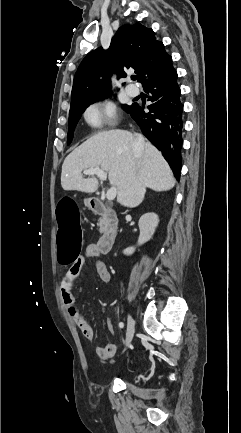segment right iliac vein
I'll use <instances>...</instances> for the list:
<instances>
[{"label": "right iliac vein", "mask_w": 241, "mask_h": 433, "mask_svg": "<svg viewBox=\"0 0 241 433\" xmlns=\"http://www.w3.org/2000/svg\"><path fill=\"white\" fill-rule=\"evenodd\" d=\"M134 319L129 315L128 316V324H127V333H126V342L125 345L128 346L133 338L134 334Z\"/></svg>", "instance_id": "1"}]
</instances>
